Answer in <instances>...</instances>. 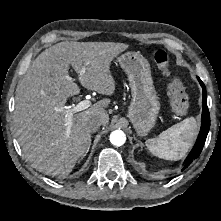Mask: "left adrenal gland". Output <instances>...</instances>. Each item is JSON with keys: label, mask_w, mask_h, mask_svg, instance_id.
Listing matches in <instances>:
<instances>
[{"label": "left adrenal gland", "mask_w": 221, "mask_h": 221, "mask_svg": "<svg viewBox=\"0 0 221 221\" xmlns=\"http://www.w3.org/2000/svg\"><path fill=\"white\" fill-rule=\"evenodd\" d=\"M141 147H144V145L140 142Z\"/></svg>", "instance_id": "obj_1"}]
</instances>
